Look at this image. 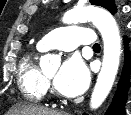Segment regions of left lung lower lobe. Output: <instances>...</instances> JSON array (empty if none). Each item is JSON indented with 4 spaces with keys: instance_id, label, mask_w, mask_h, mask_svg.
Returning <instances> with one entry per match:
<instances>
[{
    "instance_id": "1",
    "label": "left lung lower lobe",
    "mask_w": 131,
    "mask_h": 115,
    "mask_svg": "<svg viewBox=\"0 0 131 115\" xmlns=\"http://www.w3.org/2000/svg\"><path fill=\"white\" fill-rule=\"evenodd\" d=\"M128 43L129 39L124 38V66L122 69L120 80L117 85V91L114 95V99L105 115H125L124 105L127 100V91L130 86L129 76L131 72V51L128 49Z\"/></svg>"
}]
</instances>
